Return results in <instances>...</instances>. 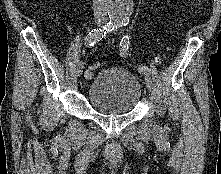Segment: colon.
<instances>
[{
    "label": "colon",
    "instance_id": "obj_1",
    "mask_svg": "<svg viewBox=\"0 0 221 174\" xmlns=\"http://www.w3.org/2000/svg\"><path fill=\"white\" fill-rule=\"evenodd\" d=\"M200 2H198V4H199ZM100 67V63L99 62H94V63H92L90 66H89V68L91 69V70H96V69H98Z\"/></svg>",
    "mask_w": 221,
    "mask_h": 174
}]
</instances>
